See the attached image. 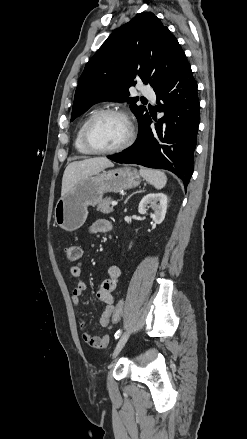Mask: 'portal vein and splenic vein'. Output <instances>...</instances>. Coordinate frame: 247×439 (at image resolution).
Masks as SVG:
<instances>
[{
    "label": "portal vein and splenic vein",
    "instance_id": "portal-vein-and-splenic-vein-1",
    "mask_svg": "<svg viewBox=\"0 0 247 439\" xmlns=\"http://www.w3.org/2000/svg\"><path fill=\"white\" fill-rule=\"evenodd\" d=\"M111 205H112V206H116V205H117V202H116V201H112V202H111Z\"/></svg>",
    "mask_w": 247,
    "mask_h": 439
}]
</instances>
